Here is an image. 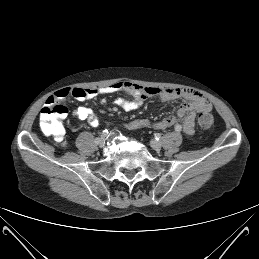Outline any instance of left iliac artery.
Returning <instances> with one entry per match:
<instances>
[{
    "label": "left iliac artery",
    "mask_w": 259,
    "mask_h": 259,
    "mask_svg": "<svg viewBox=\"0 0 259 259\" xmlns=\"http://www.w3.org/2000/svg\"><path fill=\"white\" fill-rule=\"evenodd\" d=\"M175 130L176 131H180L181 130V126L180 125H176Z\"/></svg>",
    "instance_id": "1"
}]
</instances>
